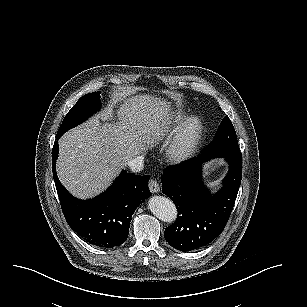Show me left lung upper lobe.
Segmentation results:
<instances>
[{"mask_svg": "<svg viewBox=\"0 0 307 307\" xmlns=\"http://www.w3.org/2000/svg\"><path fill=\"white\" fill-rule=\"evenodd\" d=\"M202 156L242 158L236 132L228 116L220 123L213 142Z\"/></svg>", "mask_w": 307, "mask_h": 307, "instance_id": "5c2ea615", "label": "left lung upper lobe"}]
</instances>
